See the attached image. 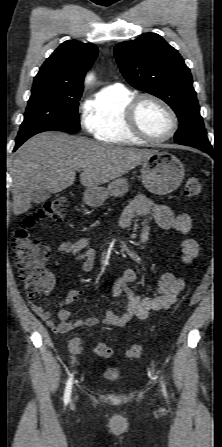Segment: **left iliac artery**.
<instances>
[{
    "instance_id": "obj_1",
    "label": "left iliac artery",
    "mask_w": 222,
    "mask_h": 447,
    "mask_svg": "<svg viewBox=\"0 0 222 447\" xmlns=\"http://www.w3.org/2000/svg\"><path fill=\"white\" fill-rule=\"evenodd\" d=\"M162 387H163L164 394L166 395V389H165L164 384H162Z\"/></svg>"
}]
</instances>
